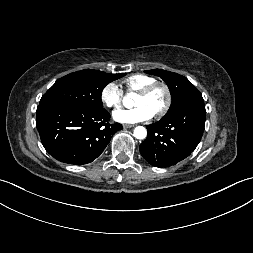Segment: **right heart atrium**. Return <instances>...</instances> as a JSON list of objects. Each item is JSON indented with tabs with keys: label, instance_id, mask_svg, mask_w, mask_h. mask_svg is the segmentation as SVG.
Returning <instances> with one entry per match:
<instances>
[{
	"label": "right heart atrium",
	"instance_id": "1",
	"mask_svg": "<svg viewBox=\"0 0 253 253\" xmlns=\"http://www.w3.org/2000/svg\"><path fill=\"white\" fill-rule=\"evenodd\" d=\"M124 92L115 82L107 83L101 90L100 99L102 103L112 109H117L123 102Z\"/></svg>",
	"mask_w": 253,
	"mask_h": 253
}]
</instances>
